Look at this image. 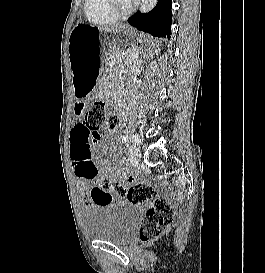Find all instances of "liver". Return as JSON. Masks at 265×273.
Instances as JSON below:
<instances>
[{
	"label": "liver",
	"instance_id": "obj_1",
	"mask_svg": "<svg viewBox=\"0 0 265 273\" xmlns=\"http://www.w3.org/2000/svg\"><path fill=\"white\" fill-rule=\"evenodd\" d=\"M123 27H126V26L125 25H118V26L115 27V29L116 28H123Z\"/></svg>",
	"mask_w": 265,
	"mask_h": 273
}]
</instances>
